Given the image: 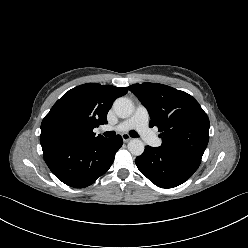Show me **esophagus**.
<instances>
[{
	"label": "esophagus",
	"instance_id": "34e87169",
	"mask_svg": "<svg viewBox=\"0 0 248 248\" xmlns=\"http://www.w3.org/2000/svg\"><path fill=\"white\" fill-rule=\"evenodd\" d=\"M122 139L124 142H129L130 140H132V137H130L128 134H123Z\"/></svg>",
	"mask_w": 248,
	"mask_h": 248
}]
</instances>
